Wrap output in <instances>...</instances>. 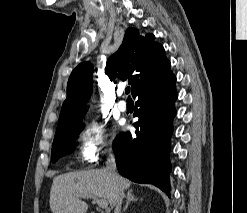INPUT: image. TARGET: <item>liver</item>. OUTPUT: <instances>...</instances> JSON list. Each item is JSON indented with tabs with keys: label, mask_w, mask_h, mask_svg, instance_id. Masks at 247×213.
I'll return each mask as SVG.
<instances>
[{
	"label": "liver",
	"mask_w": 247,
	"mask_h": 213,
	"mask_svg": "<svg viewBox=\"0 0 247 213\" xmlns=\"http://www.w3.org/2000/svg\"><path fill=\"white\" fill-rule=\"evenodd\" d=\"M131 182L117 176L114 180L107 169L65 173L54 177L50 190L53 213H86L88 204L80 198L91 195L105 199L111 208L116 205L117 189H128Z\"/></svg>",
	"instance_id": "1"
}]
</instances>
